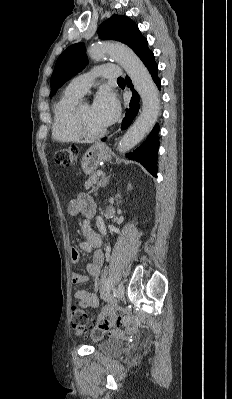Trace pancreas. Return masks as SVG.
Masks as SVG:
<instances>
[{
	"mask_svg": "<svg viewBox=\"0 0 232 399\" xmlns=\"http://www.w3.org/2000/svg\"><path fill=\"white\" fill-rule=\"evenodd\" d=\"M98 172L99 170H97V172H93V174L89 176L88 180H86L85 182V188H93L94 184H97V186H99L101 180L100 182H98L99 180Z\"/></svg>",
	"mask_w": 232,
	"mask_h": 399,
	"instance_id": "pancreas-1",
	"label": "pancreas"
}]
</instances>
